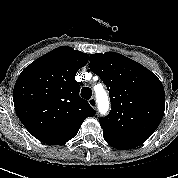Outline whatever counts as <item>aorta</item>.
<instances>
[{"label": "aorta", "mask_w": 178, "mask_h": 178, "mask_svg": "<svg viewBox=\"0 0 178 178\" xmlns=\"http://www.w3.org/2000/svg\"><path fill=\"white\" fill-rule=\"evenodd\" d=\"M98 109L101 114H106L109 109V98L104 89L96 90Z\"/></svg>", "instance_id": "762f6f07"}]
</instances>
